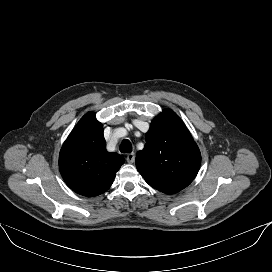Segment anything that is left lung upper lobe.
Segmentation results:
<instances>
[{
	"label": "left lung upper lobe",
	"mask_w": 272,
	"mask_h": 272,
	"mask_svg": "<svg viewBox=\"0 0 272 272\" xmlns=\"http://www.w3.org/2000/svg\"><path fill=\"white\" fill-rule=\"evenodd\" d=\"M145 137V148L136 156L137 170L145 181L166 194L187 187L197 175L201 153L183 121L172 110H164Z\"/></svg>",
	"instance_id": "5c2ea615"
}]
</instances>
